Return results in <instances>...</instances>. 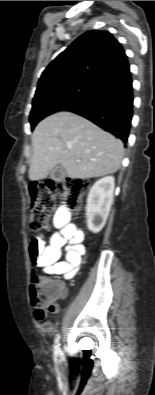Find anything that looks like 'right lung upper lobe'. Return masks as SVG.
<instances>
[{"instance_id": "right-lung-upper-lobe-1", "label": "right lung upper lobe", "mask_w": 155, "mask_h": 395, "mask_svg": "<svg viewBox=\"0 0 155 395\" xmlns=\"http://www.w3.org/2000/svg\"><path fill=\"white\" fill-rule=\"evenodd\" d=\"M127 69L129 62L125 51L110 32L88 31L47 66L39 79L36 92L75 80L101 83L110 74Z\"/></svg>"}]
</instances>
